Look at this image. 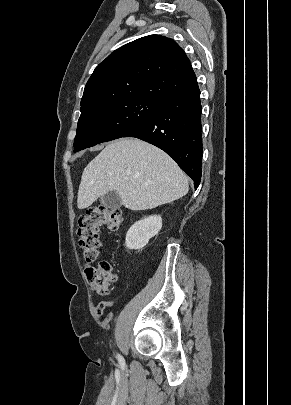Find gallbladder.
<instances>
[{"label": "gallbladder", "mask_w": 291, "mask_h": 405, "mask_svg": "<svg viewBox=\"0 0 291 405\" xmlns=\"http://www.w3.org/2000/svg\"><path fill=\"white\" fill-rule=\"evenodd\" d=\"M100 202L106 208L112 210L119 209L122 206L120 196L115 191H109L100 198Z\"/></svg>", "instance_id": "gallbladder-1"}]
</instances>
